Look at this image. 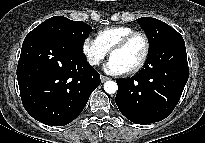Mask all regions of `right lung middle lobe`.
<instances>
[{
    "label": "right lung middle lobe",
    "mask_w": 205,
    "mask_h": 143,
    "mask_svg": "<svg viewBox=\"0 0 205 143\" xmlns=\"http://www.w3.org/2000/svg\"><path fill=\"white\" fill-rule=\"evenodd\" d=\"M32 31L54 35L83 51L84 41L92 28L82 21L69 20L64 16H54L45 20Z\"/></svg>",
    "instance_id": "right-lung-middle-lobe-1"
}]
</instances>
